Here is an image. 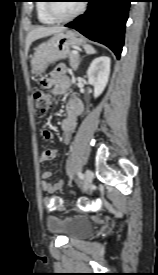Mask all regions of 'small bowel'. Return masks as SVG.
Here are the masks:
<instances>
[{
    "label": "small bowel",
    "instance_id": "c3829d8e",
    "mask_svg": "<svg viewBox=\"0 0 158 275\" xmlns=\"http://www.w3.org/2000/svg\"><path fill=\"white\" fill-rule=\"evenodd\" d=\"M48 81L47 88L51 89L55 93H65L70 87V79L67 75V69L65 65H58L49 75L44 77ZM67 117L62 121V141L68 145L71 142L73 131L76 128L77 117L83 112V106L81 102L75 97L71 96L68 99L66 105ZM44 139L49 140L52 138V127L49 123H46L41 128ZM57 156L56 149H44L41 153V161H50ZM51 172L44 171L41 173V189L46 193H54L60 190L63 186V180H59L55 183L49 181Z\"/></svg>",
    "mask_w": 158,
    "mask_h": 275
}]
</instances>
